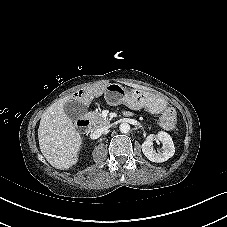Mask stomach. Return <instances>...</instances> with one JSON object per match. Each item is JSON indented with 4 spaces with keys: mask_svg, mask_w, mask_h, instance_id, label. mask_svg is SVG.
I'll return each mask as SVG.
<instances>
[{
    "mask_svg": "<svg viewBox=\"0 0 227 227\" xmlns=\"http://www.w3.org/2000/svg\"><path fill=\"white\" fill-rule=\"evenodd\" d=\"M106 98L113 105L127 104L133 108H146L153 113H160L167 106V101L159 94L142 89L128 91L119 84L107 85Z\"/></svg>",
    "mask_w": 227,
    "mask_h": 227,
    "instance_id": "0dacf381",
    "label": "stomach"
}]
</instances>
